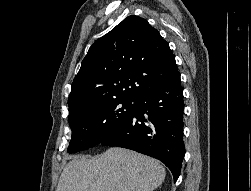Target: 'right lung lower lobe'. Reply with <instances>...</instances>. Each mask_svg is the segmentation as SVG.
Returning a JSON list of instances; mask_svg holds the SVG:
<instances>
[{
  "label": "right lung lower lobe",
  "mask_w": 251,
  "mask_h": 191,
  "mask_svg": "<svg viewBox=\"0 0 251 191\" xmlns=\"http://www.w3.org/2000/svg\"><path fill=\"white\" fill-rule=\"evenodd\" d=\"M131 116L100 143L128 148L162 161L174 182L185 155L183 142V88L180 73L135 99Z\"/></svg>",
  "instance_id": "right-lung-lower-lobe-1"
}]
</instances>
